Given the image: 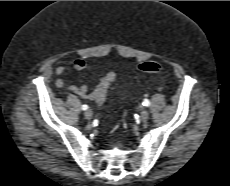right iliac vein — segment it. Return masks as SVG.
<instances>
[{"label":"right iliac vein","instance_id":"1","mask_svg":"<svg viewBox=\"0 0 230 186\" xmlns=\"http://www.w3.org/2000/svg\"><path fill=\"white\" fill-rule=\"evenodd\" d=\"M84 116L86 119H91L93 117V113L91 110H87L85 113H84Z\"/></svg>","mask_w":230,"mask_h":186}]
</instances>
